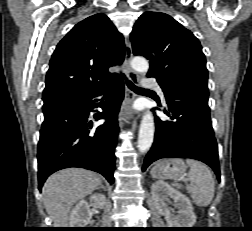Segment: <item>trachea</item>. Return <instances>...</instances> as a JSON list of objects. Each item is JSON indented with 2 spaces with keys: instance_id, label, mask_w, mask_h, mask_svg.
Listing matches in <instances>:
<instances>
[{
  "instance_id": "3493384b",
  "label": "trachea",
  "mask_w": 252,
  "mask_h": 231,
  "mask_svg": "<svg viewBox=\"0 0 252 231\" xmlns=\"http://www.w3.org/2000/svg\"><path fill=\"white\" fill-rule=\"evenodd\" d=\"M121 76H122L124 79H126V78H125V75H124L123 73H121ZM126 84H127V86H128L132 91H134V92L147 91V90L144 89V88H140V87L135 86V85H134L131 81H129V80H126Z\"/></svg>"
}]
</instances>
